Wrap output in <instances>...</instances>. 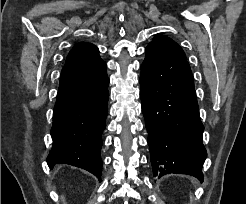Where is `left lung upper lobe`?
Returning <instances> with one entry per match:
<instances>
[{
	"label": "left lung upper lobe",
	"instance_id": "1",
	"mask_svg": "<svg viewBox=\"0 0 246 204\" xmlns=\"http://www.w3.org/2000/svg\"><path fill=\"white\" fill-rule=\"evenodd\" d=\"M148 46H155L157 48H160L164 50L165 52H168L174 56H177L179 58L185 59L186 56L184 51L181 49V47L172 39L162 36V35H157L152 42L149 43Z\"/></svg>",
	"mask_w": 246,
	"mask_h": 204
}]
</instances>
